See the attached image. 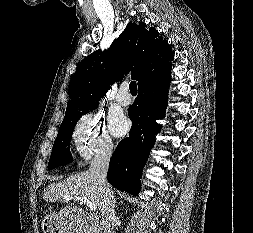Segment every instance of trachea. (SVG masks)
<instances>
[{
    "mask_svg": "<svg viewBox=\"0 0 253 233\" xmlns=\"http://www.w3.org/2000/svg\"><path fill=\"white\" fill-rule=\"evenodd\" d=\"M129 89H130V92L132 94H137V86H136V82L135 81H132L129 85Z\"/></svg>",
    "mask_w": 253,
    "mask_h": 233,
    "instance_id": "obj_1",
    "label": "trachea"
}]
</instances>
